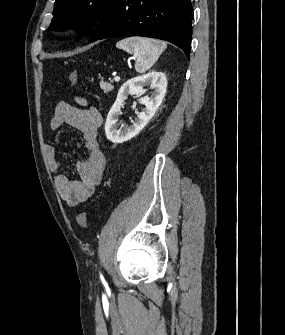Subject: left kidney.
Listing matches in <instances>:
<instances>
[{
    "label": "left kidney",
    "mask_w": 285,
    "mask_h": 335,
    "mask_svg": "<svg viewBox=\"0 0 285 335\" xmlns=\"http://www.w3.org/2000/svg\"><path fill=\"white\" fill-rule=\"evenodd\" d=\"M144 86H150L155 90L151 98L149 96H144V98H139L138 102L144 104L145 108L143 112L138 114V120L130 126V128H119L118 130V116L122 114L121 106H123L124 100H127L128 96H141L144 94ZM167 90V78L163 72H149V74H144V76H137V78H131L128 82H125L121 86L116 102H114L106 120L105 124V134L113 144H123L127 140H131L134 136H137L149 120L153 118L156 114L161 102L166 94Z\"/></svg>",
    "instance_id": "5707ae66"
}]
</instances>
